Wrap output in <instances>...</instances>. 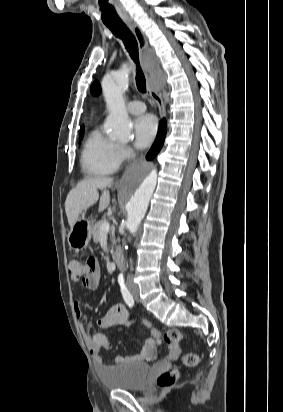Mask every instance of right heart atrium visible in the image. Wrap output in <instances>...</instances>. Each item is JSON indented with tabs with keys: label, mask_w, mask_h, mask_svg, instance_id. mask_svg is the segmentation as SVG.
Instances as JSON below:
<instances>
[{
	"label": "right heart atrium",
	"mask_w": 283,
	"mask_h": 412,
	"mask_svg": "<svg viewBox=\"0 0 283 412\" xmlns=\"http://www.w3.org/2000/svg\"><path fill=\"white\" fill-rule=\"evenodd\" d=\"M121 156L123 159H127L132 154V149L129 146H121L120 147Z\"/></svg>",
	"instance_id": "obj_1"
}]
</instances>
